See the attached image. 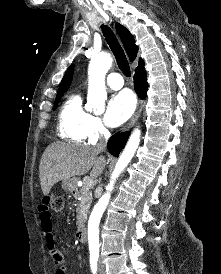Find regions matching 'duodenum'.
<instances>
[{"label": "duodenum", "instance_id": "1", "mask_svg": "<svg viewBox=\"0 0 221 274\" xmlns=\"http://www.w3.org/2000/svg\"><path fill=\"white\" fill-rule=\"evenodd\" d=\"M76 236H77L78 241H79L81 244L86 243V241H87V229H86V227H85L84 225H82V226L79 228V230H78Z\"/></svg>", "mask_w": 221, "mask_h": 274}]
</instances>
